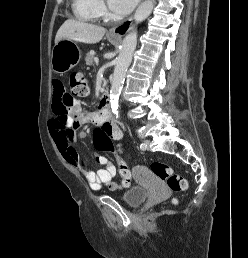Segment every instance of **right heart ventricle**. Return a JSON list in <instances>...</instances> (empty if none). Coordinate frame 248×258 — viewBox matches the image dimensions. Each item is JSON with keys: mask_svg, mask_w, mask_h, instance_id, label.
Listing matches in <instances>:
<instances>
[{"mask_svg": "<svg viewBox=\"0 0 248 258\" xmlns=\"http://www.w3.org/2000/svg\"><path fill=\"white\" fill-rule=\"evenodd\" d=\"M72 10L76 19L84 22H94L100 16L97 0H72Z\"/></svg>", "mask_w": 248, "mask_h": 258, "instance_id": "right-heart-ventricle-1", "label": "right heart ventricle"}]
</instances>
